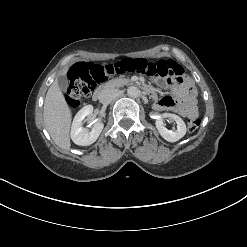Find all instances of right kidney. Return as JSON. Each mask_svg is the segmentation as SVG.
Returning <instances> with one entry per match:
<instances>
[{"label": "right kidney", "instance_id": "1", "mask_svg": "<svg viewBox=\"0 0 247 247\" xmlns=\"http://www.w3.org/2000/svg\"><path fill=\"white\" fill-rule=\"evenodd\" d=\"M92 113L93 106L87 105L80 109L75 115L71 127V139L75 144L80 146H89L98 139L102 132L104 124L101 121L95 122L90 131L83 127V120L86 117L88 120H91Z\"/></svg>", "mask_w": 247, "mask_h": 247}]
</instances>
